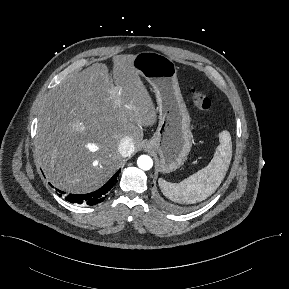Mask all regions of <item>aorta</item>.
Wrapping results in <instances>:
<instances>
[{"mask_svg":"<svg viewBox=\"0 0 289 289\" xmlns=\"http://www.w3.org/2000/svg\"><path fill=\"white\" fill-rule=\"evenodd\" d=\"M137 165L142 170H149L153 166V160L148 155H141L138 157Z\"/></svg>","mask_w":289,"mask_h":289,"instance_id":"1","label":"aorta"}]
</instances>
